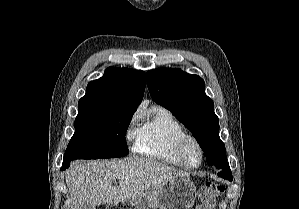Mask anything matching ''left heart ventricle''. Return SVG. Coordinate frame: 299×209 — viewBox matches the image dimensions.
Here are the masks:
<instances>
[{
	"label": "left heart ventricle",
	"mask_w": 299,
	"mask_h": 209,
	"mask_svg": "<svg viewBox=\"0 0 299 209\" xmlns=\"http://www.w3.org/2000/svg\"><path fill=\"white\" fill-rule=\"evenodd\" d=\"M200 151L194 143H189L185 151L186 161L190 165H197L200 162Z\"/></svg>",
	"instance_id": "b2bd125f"
}]
</instances>
